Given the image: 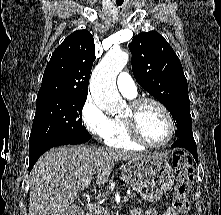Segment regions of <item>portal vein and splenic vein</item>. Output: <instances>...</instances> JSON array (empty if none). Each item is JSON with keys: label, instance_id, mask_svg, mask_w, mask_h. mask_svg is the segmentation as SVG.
I'll list each match as a JSON object with an SVG mask.
<instances>
[{"label": "portal vein and splenic vein", "instance_id": "obj_1", "mask_svg": "<svg viewBox=\"0 0 221 215\" xmlns=\"http://www.w3.org/2000/svg\"><path fill=\"white\" fill-rule=\"evenodd\" d=\"M125 200H128V197H124ZM87 207L90 209V210H95V211H98V212H101L104 210V208H102L101 206H97L95 204H92L90 203L89 201L87 202Z\"/></svg>", "mask_w": 221, "mask_h": 215}]
</instances>
